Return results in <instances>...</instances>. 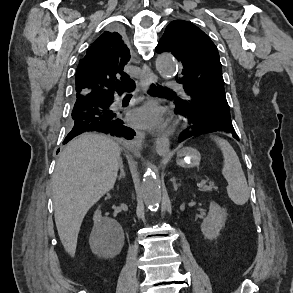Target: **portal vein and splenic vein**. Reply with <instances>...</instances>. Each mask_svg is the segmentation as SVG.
Here are the masks:
<instances>
[{
    "mask_svg": "<svg viewBox=\"0 0 293 293\" xmlns=\"http://www.w3.org/2000/svg\"><path fill=\"white\" fill-rule=\"evenodd\" d=\"M206 184V181L205 180H202L201 182H200V185L202 186V185H205Z\"/></svg>",
    "mask_w": 293,
    "mask_h": 293,
    "instance_id": "obj_1",
    "label": "portal vein and splenic vein"
}]
</instances>
